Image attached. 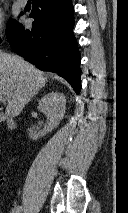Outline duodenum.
<instances>
[{
    "instance_id": "1",
    "label": "duodenum",
    "mask_w": 128,
    "mask_h": 213,
    "mask_svg": "<svg viewBox=\"0 0 128 213\" xmlns=\"http://www.w3.org/2000/svg\"><path fill=\"white\" fill-rule=\"evenodd\" d=\"M0 121H5L9 128L14 129L16 124L14 120L10 117H7L6 115L0 113Z\"/></svg>"
}]
</instances>
